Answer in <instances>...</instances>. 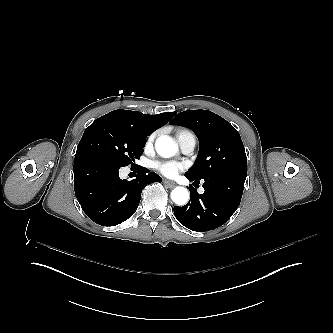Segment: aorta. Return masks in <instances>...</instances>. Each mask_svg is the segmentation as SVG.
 <instances>
[{"mask_svg": "<svg viewBox=\"0 0 333 333\" xmlns=\"http://www.w3.org/2000/svg\"><path fill=\"white\" fill-rule=\"evenodd\" d=\"M155 150L163 158H170L176 154L178 147L168 135H161L155 141ZM171 199L177 205H184L189 200V192L183 186L175 187L171 192Z\"/></svg>", "mask_w": 333, "mask_h": 333, "instance_id": "obj_1", "label": "aorta"}]
</instances>
